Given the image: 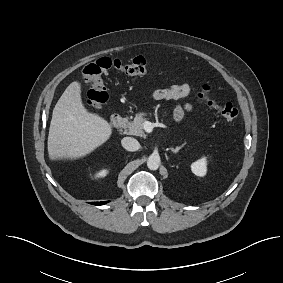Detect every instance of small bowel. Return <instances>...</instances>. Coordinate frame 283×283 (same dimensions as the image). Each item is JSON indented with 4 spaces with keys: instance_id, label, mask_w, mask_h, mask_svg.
Wrapping results in <instances>:
<instances>
[{
    "instance_id": "1",
    "label": "small bowel",
    "mask_w": 283,
    "mask_h": 283,
    "mask_svg": "<svg viewBox=\"0 0 283 283\" xmlns=\"http://www.w3.org/2000/svg\"><path fill=\"white\" fill-rule=\"evenodd\" d=\"M191 94V88L187 84L173 85L169 88L156 89L151 93V97L154 100H172L181 99ZM192 110V105L186 103L179 105L174 109L173 118L176 122H180L185 113Z\"/></svg>"
}]
</instances>
